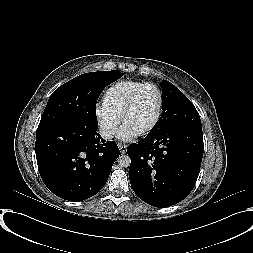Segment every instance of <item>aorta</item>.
<instances>
[{
  "mask_svg": "<svg viewBox=\"0 0 253 253\" xmlns=\"http://www.w3.org/2000/svg\"><path fill=\"white\" fill-rule=\"evenodd\" d=\"M118 165L121 167H129L131 159L128 155H121L117 158Z\"/></svg>",
  "mask_w": 253,
  "mask_h": 253,
  "instance_id": "obj_1",
  "label": "aorta"
}]
</instances>
